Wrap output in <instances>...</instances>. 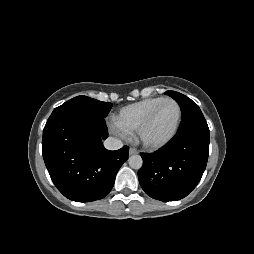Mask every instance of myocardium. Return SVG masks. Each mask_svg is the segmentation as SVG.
Segmentation results:
<instances>
[{
  "instance_id": "1",
  "label": "myocardium",
  "mask_w": 254,
  "mask_h": 254,
  "mask_svg": "<svg viewBox=\"0 0 254 254\" xmlns=\"http://www.w3.org/2000/svg\"><path fill=\"white\" fill-rule=\"evenodd\" d=\"M166 102H172L177 106L178 117H177L176 124H175L173 130L171 131V133L166 138H164L163 140L158 141V142H151L145 138V131L148 128V126L151 124V122L154 119L159 108ZM181 120H182L181 105L173 98H164L148 113V115L145 117V119L139 125V127L137 129L138 139L147 148L159 149V148L167 145L176 136V134L179 130L180 124H181Z\"/></svg>"
}]
</instances>
